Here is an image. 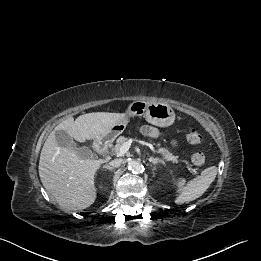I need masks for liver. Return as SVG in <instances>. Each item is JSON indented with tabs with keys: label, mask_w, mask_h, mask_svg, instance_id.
Returning <instances> with one entry per match:
<instances>
[{
	"label": "liver",
	"mask_w": 261,
	"mask_h": 261,
	"mask_svg": "<svg viewBox=\"0 0 261 261\" xmlns=\"http://www.w3.org/2000/svg\"><path fill=\"white\" fill-rule=\"evenodd\" d=\"M124 118L123 113H87L76 120L67 118L49 134L40 154L39 176L46 191L61 207L80 210L94 203L95 173L103 160L84 159L74 149L60 147L55 132L65 130L78 142L101 140Z\"/></svg>",
	"instance_id": "6515ba94"
}]
</instances>
